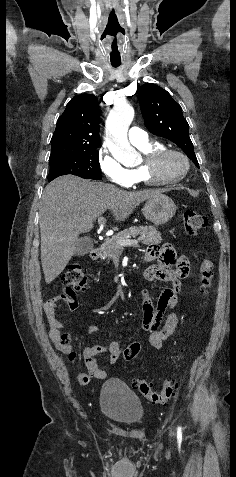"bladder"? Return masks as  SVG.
Returning a JSON list of instances; mask_svg holds the SVG:
<instances>
[{"mask_svg":"<svg viewBox=\"0 0 236 477\" xmlns=\"http://www.w3.org/2000/svg\"><path fill=\"white\" fill-rule=\"evenodd\" d=\"M104 416L118 424L135 425L144 418V407L137 396L121 380H106L99 392Z\"/></svg>","mask_w":236,"mask_h":477,"instance_id":"bladder-1","label":"bladder"}]
</instances>
